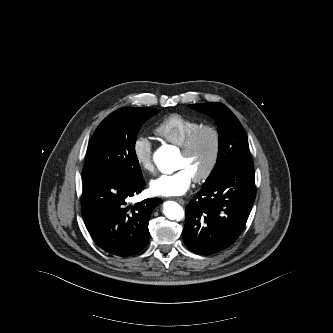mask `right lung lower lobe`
Here are the masks:
<instances>
[{
	"label": "right lung lower lobe",
	"instance_id": "right-lung-lower-lobe-1",
	"mask_svg": "<svg viewBox=\"0 0 333 333\" xmlns=\"http://www.w3.org/2000/svg\"><path fill=\"white\" fill-rule=\"evenodd\" d=\"M82 216L86 227L103 250L118 256L141 251L149 238L148 222L160 198L129 205L130 197L145 187L141 180L119 175H83Z\"/></svg>",
	"mask_w": 333,
	"mask_h": 333
}]
</instances>
